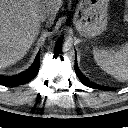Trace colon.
<instances>
[{
  "label": "colon",
  "mask_w": 128,
  "mask_h": 128,
  "mask_svg": "<svg viewBox=\"0 0 128 128\" xmlns=\"http://www.w3.org/2000/svg\"><path fill=\"white\" fill-rule=\"evenodd\" d=\"M124 20L128 22V0H125Z\"/></svg>",
  "instance_id": "colon-1"
}]
</instances>
